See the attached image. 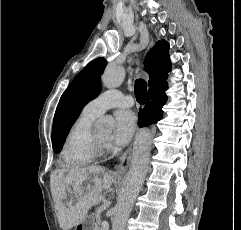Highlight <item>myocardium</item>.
Returning <instances> with one entry per match:
<instances>
[{"label":"myocardium","mask_w":241,"mask_h":230,"mask_svg":"<svg viewBox=\"0 0 241 230\" xmlns=\"http://www.w3.org/2000/svg\"><path fill=\"white\" fill-rule=\"evenodd\" d=\"M87 148L95 157H100L107 152V144L99 141L93 131L88 136Z\"/></svg>","instance_id":"f54148a6"}]
</instances>
